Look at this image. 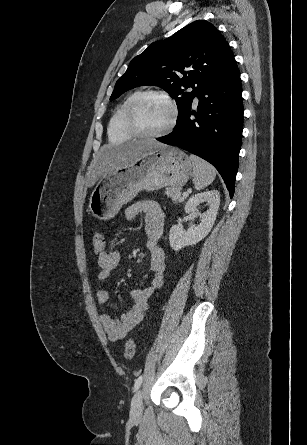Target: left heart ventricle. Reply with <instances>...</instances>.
Masks as SVG:
<instances>
[{
	"label": "left heart ventricle",
	"mask_w": 307,
	"mask_h": 445,
	"mask_svg": "<svg viewBox=\"0 0 307 445\" xmlns=\"http://www.w3.org/2000/svg\"><path fill=\"white\" fill-rule=\"evenodd\" d=\"M170 119V107L160 98H148L139 107L138 120L147 132L156 133L161 131Z\"/></svg>",
	"instance_id": "1"
}]
</instances>
